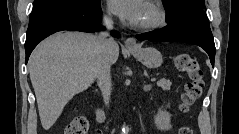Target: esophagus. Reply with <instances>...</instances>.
Wrapping results in <instances>:
<instances>
[{"label":"esophagus","instance_id":"esophagus-1","mask_svg":"<svg viewBox=\"0 0 239 134\" xmlns=\"http://www.w3.org/2000/svg\"><path fill=\"white\" fill-rule=\"evenodd\" d=\"M125 46H126L128 49L137 48L136 40H135L133 37L127 38L126 41H125Z\"/></svg>","mask_w":239,"mask_h":134}]
</instances>
